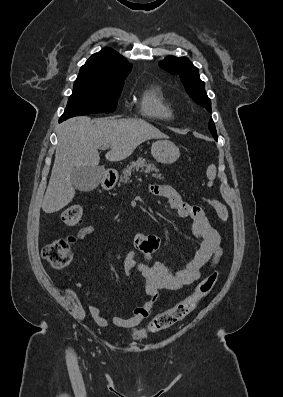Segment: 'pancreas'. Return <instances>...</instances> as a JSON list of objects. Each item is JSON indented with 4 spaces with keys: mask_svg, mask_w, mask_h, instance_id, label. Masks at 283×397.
Listing matches in <instances>:
<instances>
[{
    "mask_svg": "<svg viewBox=\"0 0 283 397\" xmlns=\"http://www.w3.org/2000/svg\"><path fill=\"white\" fill-rule=\"evenodd\" d=\"M141 171L144 173H149V172H155L153 174V177L158 178V179H162L160 174L158 173V169L156 168V166L148 161H146L144 158L140 157L138 158L136 161H133L130 163V165H128L124 171L122 176L120 177V182L123 184H126L129 180V177L131 176V174L135 171Z\"/></svg>",
    "mask_w": 283,
    "mask_h": 397,
    "instance_id": "1",
    "label": "pancreas"
}]
</instances>
